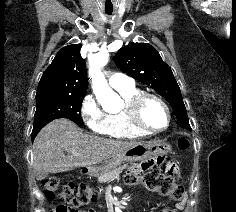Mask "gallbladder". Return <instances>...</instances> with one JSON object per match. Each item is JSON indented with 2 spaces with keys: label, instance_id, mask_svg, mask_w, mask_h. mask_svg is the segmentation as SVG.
Wrapping results in <instances>:
<instances>
[{
  "label": "gallbladder",
  "instance_id": "1",
  "mask_svg": "<svg viewBox=\"0 0 236 212\" xmlns=\"http://www.w3.org/2000/svg\"><path fill=\"white\" fill-rule=\"evenodd\" d=\"M48 176V173L45 171H40L38 173H36V177L38 180H42L44 178H46Z\"/></svg>",
  "mask_w": 236,
  "mask_h": 212
}]
</instances>
